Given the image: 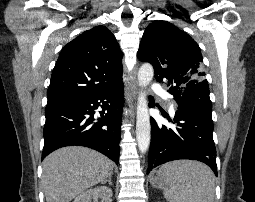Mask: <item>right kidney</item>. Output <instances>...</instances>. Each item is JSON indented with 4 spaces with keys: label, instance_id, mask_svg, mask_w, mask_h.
I'll use <instances>...</instances> for the list:
<instances>
[{
    "label": "right kidney",
    "instance_id": "1",
    "mask_svg": "<svg viewBox=\"0 0 255 202\" xmlns=\"http://www.w3.org/2000/svg\"><path fill=\"white\" fill-rule=\"evenodd\" d=\"M112 202V191L104 186L95 187L79 194L73 202Z\"/></svg>",
    "mask_w": 255,
    "mask_h": 202
}]
</instances>
